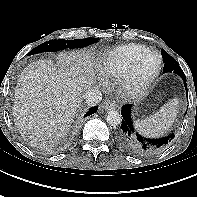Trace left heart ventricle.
I'll list each match as a JSON object with an SVG mask.
<instances>
[{"label": "left heart ventricle", "instance_id": "1", "mask_svg": "<svg viewBox=\"0 0 197 197\" xmlns=\"http://www.w3.org/2000/svg\"><path fill=\"white\" fill-rule=\"evenodd\" d=\"M158 67L157 56L151 55L146 57L137 67L136 80L142 82L149 78Z\"/></svg>", "mask_w": 197, "mask_h": 197}]
</instances>
